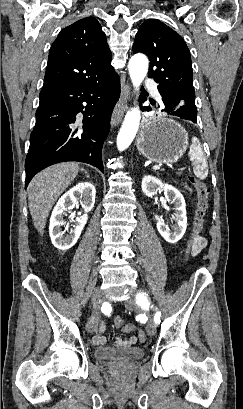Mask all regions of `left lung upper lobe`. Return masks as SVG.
Segmentation results:
<instances>
[{
	"mask_svg": "<svg viewBox=\"0 0 243 409\" xmlns=\"http://www.w3.org/2000/svg\"><path fill=\"white\" fill-rule=\"evenodd\" d=\"M133 51L149 57L148 77L159 84L158 90L195 102L191 56L178 33L159 20H146L135 36Z\"/></svg>",
	"mask_w": 243,
	"mask_h": 409,
	"instance_id": "5c2ea615",
	"label": "left lung upper lobe"
}]
</instances>
